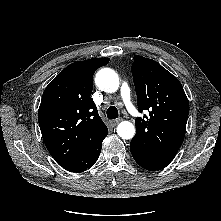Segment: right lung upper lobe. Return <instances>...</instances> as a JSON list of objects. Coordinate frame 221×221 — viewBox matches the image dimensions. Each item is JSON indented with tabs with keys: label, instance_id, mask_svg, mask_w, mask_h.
Returning <instances> with one entry per match:
<instances>
[{
	"label": "right lung upper lobe",
	"instance_id": "right-lung-upper-lobe-1",
	"mask_svg": "<svg viewBox=\"0 0 221 221\" xmlns=\"http://www.w3.org/2000/svg\"><path fill=\"white\" fill-rule=\"evenodd\" d=\"M108 62L109 58L74 62L44 90L39 126L49 153L61 167L108 130L90 97L94 72Z\"/></svg>",
	"mask_w": 221,
	"mask_h": 221
}]
</instances>
